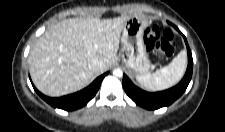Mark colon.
Here are the masks:
<instances>
[{"instance_id":"colon-1","label":"colon","mask_w":225,"mask_h":132,"mask_svg":"<svg viewBox=\"0 0 225 132\" xmlns=\"http://www.w3.org/2000/svg\"><path fill=\"white\" fill-rule=\"evenodd\" d=\"M146 47L160 57H170L176 48L171 31L161 30L158 26H151L144 32Z\"/></svg>"}]
</instances>
